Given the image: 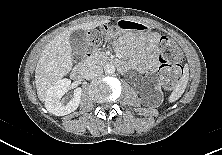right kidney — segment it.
<instances>
[{
  "label": "right kidney",
  "mask_w": 222,
  "mask_h": 155,
  "mask_svg": "<svg viewBox=\"0 0 222 155\" xmlns=\"http://www.w3.org/2000/svg\"><path fill=\"white\" fill-rule=\"evenodd\" d=\"M70 85L71 80L65 78L58 80L48 90L45 107L50 113L56 116H64L78 108L82 94L81 88H76L72 99L67 104H64L63 96L68 91Z\"/></svg>",
  "instance_id": "obj_1"
}]
</instances>
